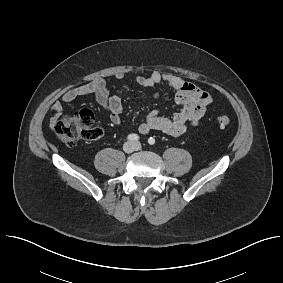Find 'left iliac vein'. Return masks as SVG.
I'll return each instance as SVG.
<instances>
[{"instance_id": "obj_1", "label": "left iliac vein", "mask_w": 283, "mask_h": 283, "mask_svg": "<svg viewBox=\"0 0 283 283\" xmlns=\"http://www.w3.org/2000/svg\"><path fill=\"white\" fill-rule=\"evenodd\" d=\"M134 145H135V150L141 149V144L139 142H134Z\"/></svg>"}]
</instances>
